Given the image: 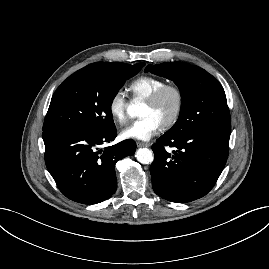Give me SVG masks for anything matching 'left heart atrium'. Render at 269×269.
<instances>
[{"label": "left heart atrium", "mask_w": 269, "mask_h": 269, "mask_svg": "<svg viewBox=\"0 0 269 269\" xmlns=\"http://www.w3.org/2000/svg\"><path fill=\"white\" fill-rule=\"evenodd\" d=\"M162 124L152 115L132 121L122 131L124 139L146 141L160 131Z\"/></svg>", "instance_id": "39dd6f15"}]
</instances>
